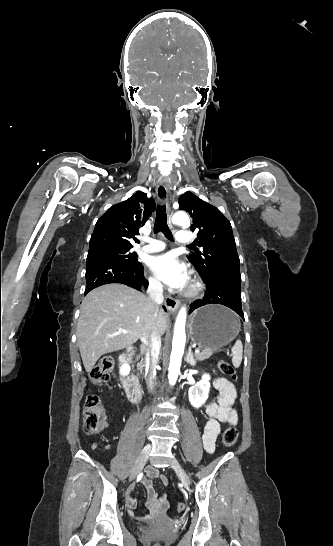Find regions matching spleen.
Here are the masks:
<instances>
[{
  "label": "spleen",
  "instance_id": "3e777b00",
  "mask_svg": "<svg viewBox=\"0 0 333 546\" xmlns=\"http://www.w3.org/2000/svg\"><path fill=\"white\" fill-rule=\"evenodd\" d=\"M240 329V324L238 325V332ZM232 352V364L235 368H238L242 361V352H243V345L240 340H237L234 344V346L231 349Z\"/></svg>",
  "mask_w": 333,
  "mask_h": 546
}]
</instances>
